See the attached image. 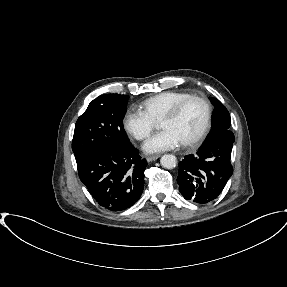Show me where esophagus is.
I'll return each instance as SVG.
<instances>
[{"instance_id":"1","label":"esophagus","mask_w":287,"mask_h":287,"mask_svg":"<svg viewBox=\"0 0 287 287\" xmlns=\"http://www.w3.org/2000/svg\"><path fill=\"white\" fill-rule=\"evenodd\" d=\"M159 157H160V154L150 155L147 157V161L151 162V161L158 159Z\"/></svg>"}]
</instances>
